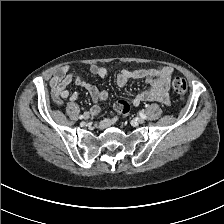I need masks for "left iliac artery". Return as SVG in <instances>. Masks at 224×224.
<instances>
[{
	"mask_svg": "<svg viewBox=\"0 0 224 224\" xmlns=\"http://www.w3.org/2000/svg\"><path fill=\"white\" fill-rule=\"evenodd\" d=\"M140 116L143 118V119H146V115L144 114V111H140Z\"/></svg>",
	"mask_w": 224,
	"mask_h": 224,
	"instance_id": "1",
	"label": "left iliac artery"
}]
</instances>
